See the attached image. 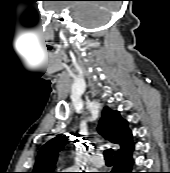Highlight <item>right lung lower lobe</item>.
Here are the masks:
<instances>
[{
  "mask_svg": "<svg viewBox=\"0 0 170 173\" xmlns=\"http://www.w3.org/2000/svg\"><path fill=\"white\" fill-rule=\"evenodd\" d=\"M133 150L134 145L132 144L128 148L114 154L115 165L111 173H133Z\"/></svg>",
  "mask_w": 170,
  "mask_h": 173,
  "instance_id": "98d812e1",
  "label": "right lung lower lobe"
}]
</instances>
